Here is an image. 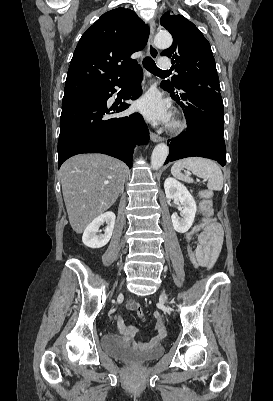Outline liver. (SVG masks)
Listing matches in <instances>:
<instances>
[{
	"instance_id": "6515ba94",
	"label": "liver",
	"mask_w": 273,
	"mask_h": 401,
	"mask_svg": "<svg viewBox=\"0 0 273 401\" xmlns=\"http://www.w3.org/2000/svg\"><path fill=\"white\" fill-rule=\"evenodd\" d=\"M126 164L106 154H76L63 162L60 178L69 223L83 233L124 190Z\"/></svg>"
}]
</instances>
